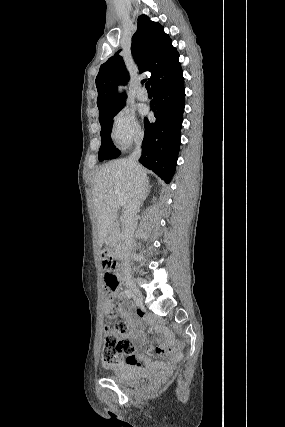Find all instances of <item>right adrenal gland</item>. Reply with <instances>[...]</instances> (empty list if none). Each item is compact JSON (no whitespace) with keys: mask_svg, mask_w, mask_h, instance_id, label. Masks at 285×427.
Returning a JSON list of instances; mask_svg holds the SVG:
<instances>
[{"mask_svg":"<svg viewBox=\"0 0 285 427\" xmlns=\"http://www.w3.org/2000/svg\"><path fill=\"white\" fill-rule=\"evenodd\" d=\"M150 187L151 186H149V184H148L147 188H146V191H145V194H144V197H143V200H145L147 198V196L149 195V189H150Z\"/></svg>","mask_w":285,"mask_h":427,"instance_id":"obj_1","label":"right adrenal gland"}]
</instances>
